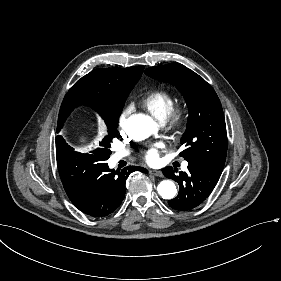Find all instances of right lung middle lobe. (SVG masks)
Here are the masks:
<instances>
[{
    "label": "right lung middle lobe",
    "instance_id": "right-lung-middle-lobe-1",
    "mask_svg": "<svg viewBox=\"0 0 281 281\" xmlns=\"http://www.w3.org/2000/svg\"><path fill=\"white\" fill-rule=\"evenodd\" d=\"M122 111H110V110H101L99 111V115L104 119L107 127H108V135L102 140L100 143V148H97L96 151L102 156L107 159L109 158L111 151L110 148V142L114 137L117 136V126H118V118L120 116ZM57 164L59 168L60 174L63 172V170H68V174L72 175L77 172L76 169H74L75 165L71 167H64V165L61 163V161L57 158Z\"/></svg>",
    "mask_w": 281,
    "mask_h": 281
}]
</instances>
